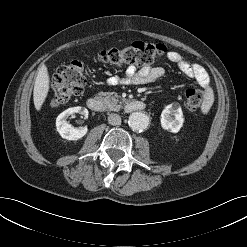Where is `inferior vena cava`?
Masks as SVG:
<instances>
[{"label": "inferior vena cava", "mask_w": 247, "mask_h": 247, "mask_svg": "<svg viewBox=\"0 0 247 247\" xmlns=\"http://www.w3.org/2000/svg\"><path fill=\"white\" fill-rule=\"evenodd\" d=\"M108 123L110 125H120L121 124V117L118 114L111 113L108 116Z\"/></svg>", "instance_id": "obj_1"}]
</instances>
